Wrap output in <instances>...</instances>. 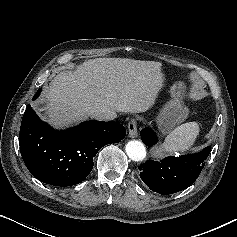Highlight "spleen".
<instances>
[{"label": "spleen", "mask_w": 237, "mask_h": 237, "mask_svg": "<svg viewBox=\"0 0 237 237\" xmlns=\"http://www.w3.org/2000/svg\"><path fill=\"white\" fill-rule=\"evenodd\" d=\"M199 135V125L197 122H189L175 128L167 135L164 143L153 152L159 156L164 152L178 153L190 149Z\"/></svg>", "instance_id": "1"}]
</instances>
